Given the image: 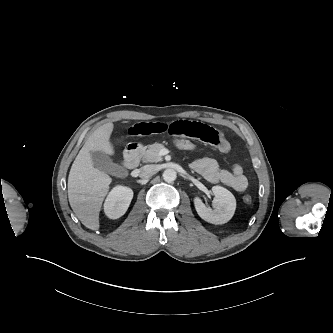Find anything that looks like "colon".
<instances>
[{
    "mask_svg": "<svg viewBox=\"0 0 333 333\" xmlns=\"http://www.w3.org/2000/svg\"><path fill=\"white\" fill-rule=\"evenodd\" d=\"M170 142L176 149L185 152L195 151L200 147L198 140L188 137H170ZM243 200L246 204L252 203L250 195H244Z\"/></svg>",
    "mask_w": 333,
    "mask_h": 333,
    "instance_id": "1",
    "label": "colon"
}]
</instances>
